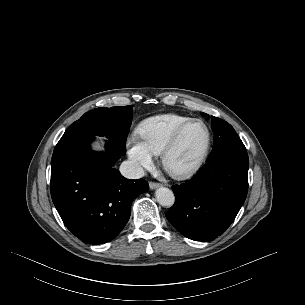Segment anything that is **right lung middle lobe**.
<instances>
[{
	"label": "right lung middle lobe",
	"instance_id": "obj_1",
	"mask_svg": "<svg viewBox=\"0 0 305 305\" xmlns=\"http://www.w3.org/2000/svg\"><path fill=\"white\" fill-rule=\"evenodd\" d=\"M132 118V106L96 108L85 113L65 131L56 146L78 139L106 136L123 155Z\"/></svg>",
	"mask_w": 305,
	"mask_h": 305
}]
</instances>
